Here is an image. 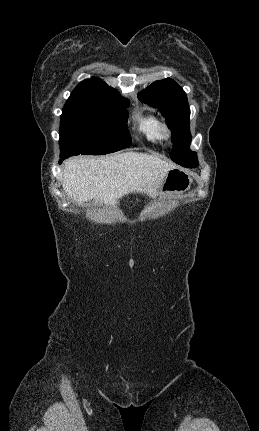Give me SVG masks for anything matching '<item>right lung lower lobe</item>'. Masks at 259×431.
Wrapping results in <instances>:
<instances>
[{"label":"right lung lower lobe","mask_w":259,"mask_h":431,"mask_svg":"<svg viewBox=\"0 0 259 431\" xmlns=\"http://www.w3.org/2000/svg\"><path fill=\"white\" fill-rule=\"evenodd\" d=\"M68 157H69L68 155L61 154V160H60V162H59V163H61L64 159H66V158H68Z\"/></svg>","instance_id":"right-lung-lower-lobe-1"}]
</instances>
